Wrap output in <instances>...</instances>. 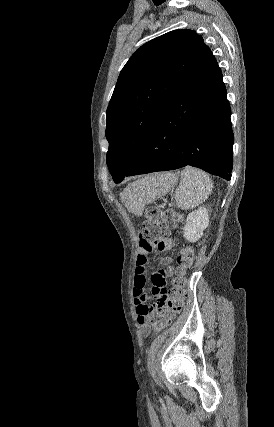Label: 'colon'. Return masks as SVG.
Here are the masks:
<instances>
[{"instance_id":"obj_1","label":"colon","mask_w":274,"mask_h":427,"mask_svg":"<svg viewBox=\"0 0 274 427\" xmlns=\"http://www.w3.org/2000/svg\"><path fill=\"white\" fill-rule=\"evenodd\" d=\"M178 220V215L173 211L151 207L146 211L140 236H146L149 244H152L150 243V238H155V242L158 243L163 240H169L168 228H172ZM194 258L195 252L192 246L185 247L180 253L177 270H173L175 277L172 280L171 290H169V301H166V306H161L160 311H153L150 317L155 331L152 338L155 340L158 339V334L169 326L166 317H169L170 314L181 313L183 310L184 302L188 296L185 275Z\"/></svg>"}]
</instances>
